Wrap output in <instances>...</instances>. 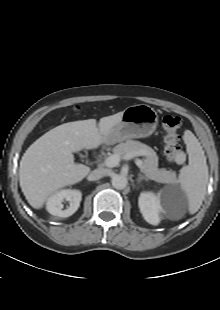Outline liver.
Wrapping results in <instances>:
<instances>
[{
    "mask_svg": "<svg viewBox=\"0 0 220 310\" xmlns=\"http://www.w3.org/2000/svg\"><path fill=\"white\" fill-rule=\"evenodd\" d=\"M122 113L101 118L98 126L95 119L64 123L30 145L20 161L19 182L33 208H42L54 192L82 181L89 174L88 166L74 163L72 153L108 143V136Z\"/></svg>",
    "mask_w": 220,
    "mask_h": 310,
    "instance_id": "1",
    "label": "liver"
}]
</instances>
